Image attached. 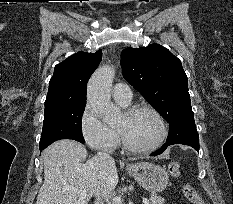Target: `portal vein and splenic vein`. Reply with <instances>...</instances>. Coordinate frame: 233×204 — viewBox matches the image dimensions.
<instances>
[{"label": "portal vein and splenic vein", "instance_id": "1", "mask_svg": "<svg viewBox=\"0 0 233 204\" xmlns=\"http://www.w3.org/2000/svg\"><path fill=\"white\" fill-rule=\"evenodd\" d=\"M67 190H69L71 192H74V193H78L80 195V198H82V199L86 197V191L79 190L78 188L68 186ZM113 203L114 204H121L122 203L121 197H117V196L114 197L113 198ZM143 203L144 204H149V201L146 198H143Z\"/></svg>", "mask_w": 233, "mask_h": 204}]
</instances>
